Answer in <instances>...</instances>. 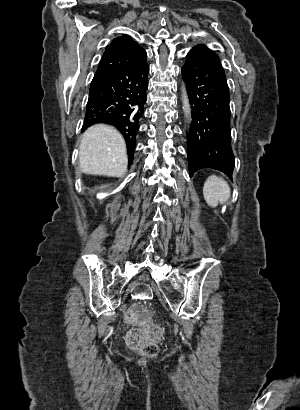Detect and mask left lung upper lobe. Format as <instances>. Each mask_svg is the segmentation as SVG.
Listing matches in <instances>:
<instances>
[{
  "mask_svg": "<svg viewBox=\"0 0 300 410\" xmlns=\"http://www.w3.org/2000/svg\"><path fill=\"white\" fill-rule=\"evenodd\" d=\"M189 53L199 56L205 60L214 61L221 65L219 57L216 54L212 53L210 49H208L205 45H198L191 49Z\"/></svg>",
  "mask_w": 300,
  "mask_h": 410,
  "instance_id": "5c2ea615",
  "label": "left lung upper lobe"
}]
</instances>
